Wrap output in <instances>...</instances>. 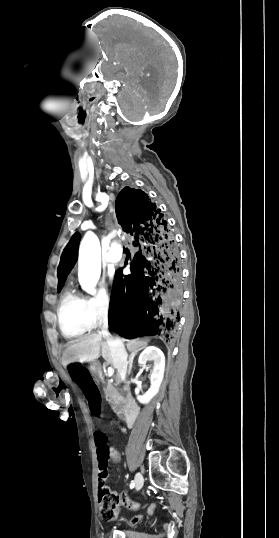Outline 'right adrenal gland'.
<instances>
[{"mask_svg":"<svg viewBox=\"0 0 279 538\" xmlns=\"http://www.w3.org/2000/svg\"><path fill=\"white\" fill-rule=\"evenodd\" d=\"M137 352H132L131 356H129V370H128V374H130L131 370H132V364H133V360L136 356Z\"/></svg>","mask_w":279,"mask_h":538,"instance_id":"right-adrenal-gland-1","label":"right adrenal gland"}]
</instances>
